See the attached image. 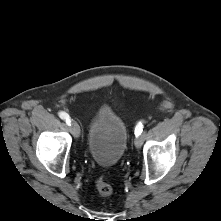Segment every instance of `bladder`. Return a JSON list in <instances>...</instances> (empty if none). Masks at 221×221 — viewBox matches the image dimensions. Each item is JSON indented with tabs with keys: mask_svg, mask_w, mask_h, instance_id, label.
<instances>
[{
	"mask_svg": "<svg viewBox=\"0 0 221 221\" xmlns=\"http://www.w3.org/2000/svg\"><path fill=\"white\" fill-rule=\"evenodd\" d=\"M128 141L125 121L112 109L99 107L89 127L87 147L100 166H113L122 158Z\"/></svg>",
	"mask_w": 221,
	"mask_h": 221,
	"instance_id": "1",
	"label": "bladder"
}]
</instances>
